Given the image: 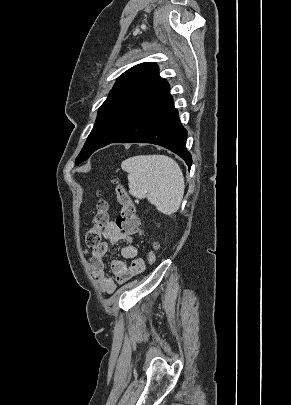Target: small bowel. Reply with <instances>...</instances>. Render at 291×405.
<instances>
[{
  "label": "small bowel",
  "mask_w": 291,
  "mask_h": 405,
  "mask_svg": "<svg viewBox=\"0 0 291 405\" xmlns=\"http://www.w3.org/2000/svg\"><path fill=\"white\" fill-rule=\"evenodd\" d=\"M105 241L98 247L94 248L88 260L91 270V276L104 294L114 293L118 284H124L134 276L142 273L145 269L144 260L138 257L137 248L131 244V236L124 234L115 222H109L104 230ZM120 241L128 244L121 249V256L124 260H130L127 265L124 260L116 259L110 264V269L114 277L108 275L105 271L103 262L104 256L110 248Z\"/></svg>",
  "instance_id": "1"
}]
</instances>
